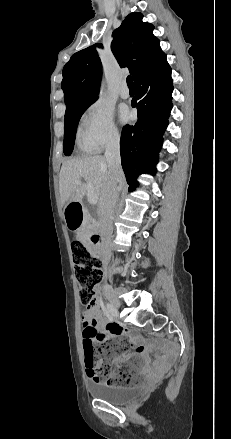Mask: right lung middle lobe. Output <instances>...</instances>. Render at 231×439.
Instances as JSON below:
<instances>
[{
    "label": "right lung middle lobe",
    "instance_id": "1",
    "mask_svg": "<svg viewBox=\"0 0 231 439\" xmlns=\"http://www.w3.org/2000/svg\"><path fill=\"white\" fill-rule=\"evenodd\" d=\"M92 103H84L67 109L65 112L63 151L66 156H70L73 151L78 122L82 114Z\"/></svg>",
    "mask_w": 231,
    "mask_h": 439
}]
</instances>
